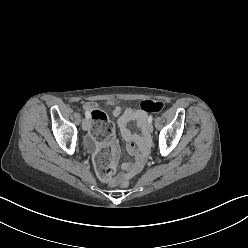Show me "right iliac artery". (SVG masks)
Wrapping results in <instances>:
<instances>
[{
  "label": "right iliac artery",
  "instance_id": "1",
  "mask_svg": "<svg viewBox=\"0 0 248 248\" xmlns=\"http://www.w3.org/2000/svg\"><path fill=\"white\" fill-rule=\"evenodd\" d=\"M85 115H86V118H88V119L90 118L89 112L86 111V112H85Z\"/></svg>",
  "mask_w": 248,
  "mask_h": 248
}]
</instances>
